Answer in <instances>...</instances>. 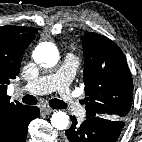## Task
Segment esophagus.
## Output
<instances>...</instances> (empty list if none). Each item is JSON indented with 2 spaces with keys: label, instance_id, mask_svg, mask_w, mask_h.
Masks as SVG:
<instances>
[{
  "label": "esophagus",
  "instance_id": "obj_1",
  "mask_svg": "<svg viewBox=\"0 0 142 142\" xmlns=\"http://www.w3.org/2000/svg\"><path fill=\"white\" fill-rule=\"evenodd\" d=\"M42 111H43L45 114H50V113L54 112V109H52V108H50V107H47V106H43Z\"/></svg>",
  "mask_w": 142,
  "mask_h": 142
}]
</instances>
